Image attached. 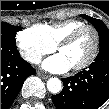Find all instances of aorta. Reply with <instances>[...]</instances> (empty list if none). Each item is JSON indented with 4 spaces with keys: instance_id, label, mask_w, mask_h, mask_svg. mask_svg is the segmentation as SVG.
Listing matches in <instances>:
<instances>
[{
    "instance_id": "1",
    "label": "aorta",
    "mask_w": 109,
    "mask_h": 109,
    "mask_svg": "<svg viewBox=\"0 0 109 109\" xmlns=\"http://www.w3.org/2000/svg\"><path fill=\"white\" fill-rule=\"evenodd\" d=\"M62 88V83L61 80L59 78H50L47 81V89L53 93V94H57L60 92Z\"/></svg>"
}]
</instances>
